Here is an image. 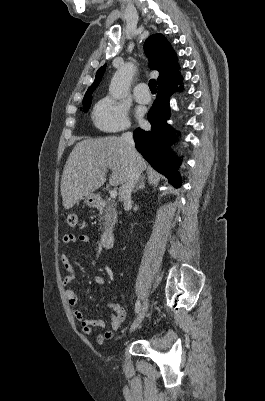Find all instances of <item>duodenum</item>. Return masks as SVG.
<instances>
[{
  "instance_id": "obj_1",
  "label": "duodenum",
  "mask_w": 265,
  "mask_h": 401,
  "mask_svg": "<svg viewBox=\"0 0 265 401\" xmlns=\"http://www.w3.org/2000/svg\"><path fill=\"white\" fill-rule=\"evenodd\" d=\"M115 235L112 231H104L101 235V244L104 248L109 249L114 245Z\"/></svg>"
}]
</instances>
